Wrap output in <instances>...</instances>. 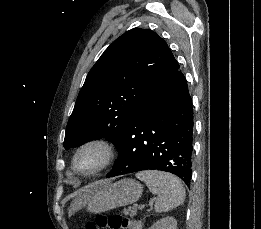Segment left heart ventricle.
Segmentation results:
<instances>
[{"mask_svg": "<svg viewBox=\"0 0 261 229\" xmlns=\"http://www.w3.org/2000/svg\"><path fill=\"white\" fill-rule=\"evenodd\" d=\"M100 162V154L97 151H88L84 153L79 159V165L83 169L91 170L95 168Z\"/></svg>", "mask_w": 261, "mask_h": 229, "instance_id": "1", "label": "left heart ventricle"}]
</instances>
